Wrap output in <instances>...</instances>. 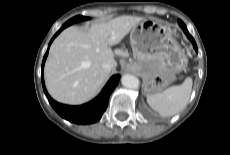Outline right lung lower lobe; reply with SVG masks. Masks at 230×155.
Segmentation results:
<instances>
[{
    "label": "right lung lower lobe",
    "mask_w": 230,
    "mask_h": 155,
    "mask_svg": "<svg viewBox=\"0 0 230 155\" xmlns=\"http://www.w3.org/2000/svg\"><path fill=\"white\" fill-rule=\"evenodd\" d=\"M65 27L62 26L61 29L54 35L52 40L49 43V47L54 40V38L64 29ZM48 50L43 58L42 63V74H41V80L43 85L44 93L51 104V106L54 108V110L64 119L77 123V124H90L95 123L100 120L102 117L104 111L107 108L109 96L114 90V88L117 86L119 82L120 75H114L106 84V86L103 88L101 93L91 102L81 105V106H68L60 104L56 101H54L48 94L45 83H44V76H43V69H44V63L48 55Z\"/></svg>",
    "instance_id": "1"
}]
</instances>
